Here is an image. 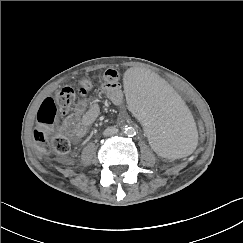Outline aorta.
I'll list each match as a JSON object with an SVG mask.
<instances>
[{
	"instance_id": "1",
	"label": "aorta",
	"mask_w": 243,
	"mask_h": 243,
	"mask_svg": "<svg viewBox=\"0 0 243 243\" xmlns=\"http://www.w3.org/2000/svg\"><path fill=\"white\" fill-rule=\"evenodd\" d=\"M125 132L128 135H132V134H134V129L132 127H127V128H125Z\"/></svg>"
}]
</instances>
